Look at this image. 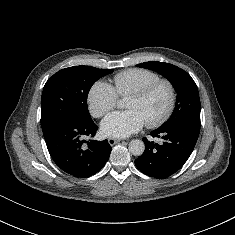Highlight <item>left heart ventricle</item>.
<instances>
[{"instance_id": "left-heart-ventricle-1", "label": "left heart ventricle", "mask_w": 235, "mask_h": 235, "mask_svg": "<svg viewBox=\"0 0 235 235\" xmlns=\"http://www.w3.org/2000/svg\"><path fill=\"white\" fill-rule=\"evenodd\" d=\"M167 104L168 92L165 87H160L146 99L129 97L126 102V108L139 111L145 121L148 122L161 115Z\"/></svg>"}]
</instances>
